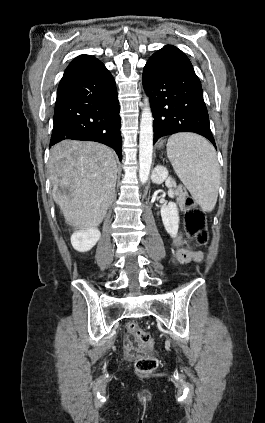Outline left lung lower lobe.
Instances as JSON below:
<instances>
[{
    "label": "left lung lower lobe",
    "mask_w": 265,
    "mask_h": 423,
    "mask_svg": "<svg viewBox=\"0 0 265 423\" xmlns=\"http://www.w3.org/2000/svg\"><path fill=\"white\" fill-rule=\"evenodd\" d=\"M142 79L154 117V143L166 135L194 132L216 148L200 80L181 50L167 45L157 51L146 63Z\"/></svg>",
    "instance_id": "0a47b994"
}]
</instances>
